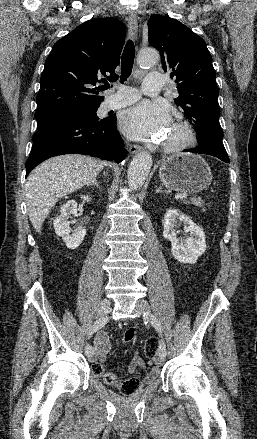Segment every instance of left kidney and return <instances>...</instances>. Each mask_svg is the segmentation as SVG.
I'll use <instances>...</instances> for the list:
<instances>
[{"instance_id":"5707ae66","label":"left kidney","mask_w":257,"mask_h":439,"mask_svg":"<svg viewBox=\"0 0 257 439\" xmlns=\"http://www.w3.org/2000/svg\"><path fill=\"white\" fill-rule=\"evenodd\" d=\"M183 224L186 238H177L175 227ZM164 238L172 245V255L183 264H194L206 250L205 234L188 216L169 209L164 217Z\"/></svg>"}]
</instances>
